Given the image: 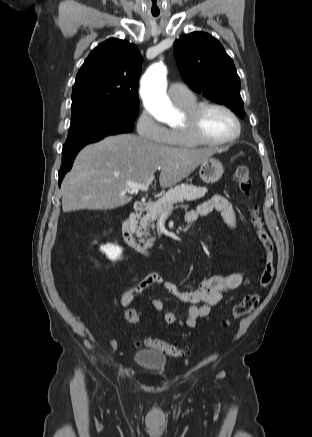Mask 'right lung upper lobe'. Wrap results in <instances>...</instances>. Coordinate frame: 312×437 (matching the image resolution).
Instances as JSON below:
<instances>
[{
  "label": "right lung upper lobe",
  "mask_w": 312,
  "mask_h": 437,
  "mask_svg": "<svg viewBox=\"0 0 312 437\" xmlns=\"http://www.w3.org/2000/svg\"><path fill=\"white\" fill-rule=\"evenodd\" d=\"M142 56L134 44L110 38L98 45L80 68L72 107L88 103L139 104Z\"/></svg>",
  "instance_id": "cb5924a9"
}]
</instances>
